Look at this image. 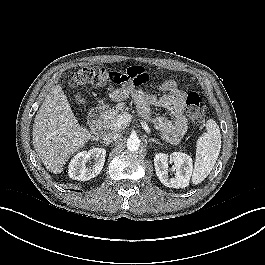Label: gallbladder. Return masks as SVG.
<instances>
[{
  "instance_id": "1",
  "label": "gallbladder",
  "mask_w": 265,
  "mask_h": 265,
  "mask_svg": "<svg viewBox=\"0 0 265 265\" xmlns=\"http://www.w3.org/2000/svg\"><path fill=\"white\" fill-rule=\"evenodd\" d=\"M74 99L79 104H82V105L86 104V99L83 96H81L80 94L74 95Z\"/></svg>"
}]
</instances>
